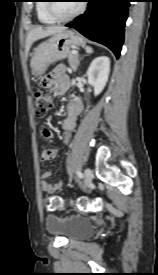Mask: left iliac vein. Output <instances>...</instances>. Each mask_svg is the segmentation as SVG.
<instances>
[{
    "label": "left iliac vein",
    "instance_id": "left-iliac-vein-1",
    "mask_svg": "<svg viewBox=\"0 0 158 275\" xmlns=\"http://www.w3.org/2000/svg\"><path fill=\"white\" fill-rule=\"evenodd\" d=\"M93 179V173L91 169L86 168L84 171V181H85V186L88 187L89 184L92 182Z\"/></svg>",
    "mask_w": 158,
    "mask_h": 275
}]
</instances>
